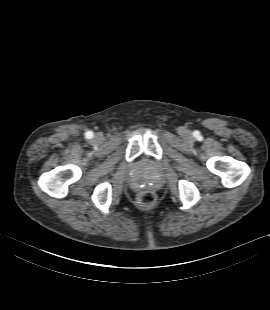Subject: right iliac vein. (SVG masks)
Returning a JSON list of instances; mask_svg holds the SVG:
<instances>
[{
  "mask_svg": "<svg viewBox=\"0 0 270 310\" xmlns=\"http://www.w3.org/2000/svg\"><path fill=\"white\" fill-rule=\"evenodd\" d=\"M94 139L97 143H100L103 140V136L101 134H97Z\"/></svg>",
  "mask_w": 270,
  "mask_h": 310,
  "instance_id": "right-iliac-vein-1",
  "label": "right iliac vein"
}]
</instances>
